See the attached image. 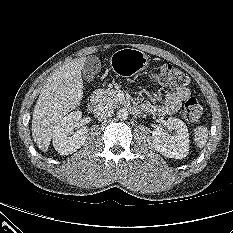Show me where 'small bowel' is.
<instances>
[{
	"mask_svg": "<svg viewBox=\"0 0 233 233\" xmlns=\"http://www.w3.org/2000/svg\"><path fill=\"white\" fill-rule=\"evenodd\" d=\"M191 92L187 87L179 88L175 92L166 95L162 104L143 103L140 109L154 115L170 116L175 114L181 107L182 103L187 100Z\"/></svg>",
	"mask_w": 233,
	"mask_h": 233,
	"instance_id": "small-bowel-1",
	"label": "small bowel"
}]
</instances>
